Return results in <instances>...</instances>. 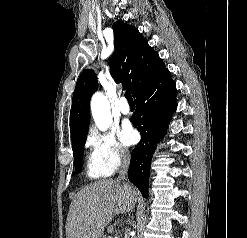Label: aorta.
I'll return each mask as SVG.
<instances>
[{"label":"aorta","instance_id":"1","mask_svg":"<svg viewBox=\"0 0 247 238\" xmlns=\"http://www.w3.org/2000/svg\"><path fill=\"white\" fill-rule=\"evenodd\" d=\"M91 112L96 126L100 131H106L112 123V114L106 97L97 92L91 99Z\"/></svg>","mask_w":247,"mask_h":238}]
</instances>
